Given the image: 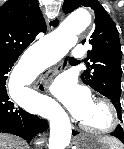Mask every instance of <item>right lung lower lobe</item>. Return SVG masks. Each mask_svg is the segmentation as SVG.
<instances>
[{
	"label": "right lung lower lobe",
	"instance_id": "obj_1",
	"mask_svg": "<svg viewBox=\"0 0 124 149\" xmlns=\"http://www.w3.org/2000/svg\"><path fill=\"white\" fill-rule=\"evenodd\" d=\"M18 57L0 58V133L20 136L29 143L36 134L47 129V122L27 113L9 100L6 81Z\"/></svg>",
	"mask_w": 124,
	"mask_h": 149
}]
</instances>
